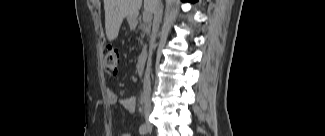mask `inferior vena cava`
<instances>
[{"label":"inferior vena cava","mask_w":325,"mask_h":136,"mask_svg":"<svg viewBox=\"0 0 325 136\" xmlns=\"http://www.w3.org/2000/svg\"><path fill=\"white\" fill-rule=\"evenodd\" d=\"M152 2V10L154 13V20H153V30L154 32H157L159 29V25L162 20V13H163V6L161 0H151ZM150 91H151V82H150V76L149 74L146 76L144 80V93L147 99L150 97Z\"/></svg>","instance_id":"inferior-vena-cava-1"}]
</instances>
